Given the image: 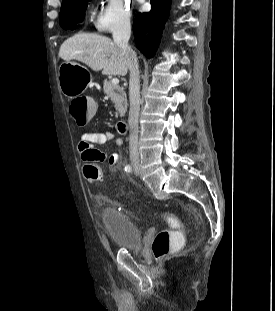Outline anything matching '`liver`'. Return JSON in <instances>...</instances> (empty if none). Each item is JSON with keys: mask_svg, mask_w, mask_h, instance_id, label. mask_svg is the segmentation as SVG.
Listing matches in <instances>:
<instances>
[{"mask_svg": "<svg viewBox=\"0 0 275 311\" xmlns=\"http://www.w3.org/2000/svg\"><path fill=\"white\" fill-rule=\"evenodd\" d=\"M65 60H77L104 75L125 76L130 70L134 55L127 54L111 39L95 33H78L65 40L59 50Z\"/></svg>", "mask_w": 275, "mask_h": 311, "instance_id": "liver-1", "label": "liver"}]
</instances>
